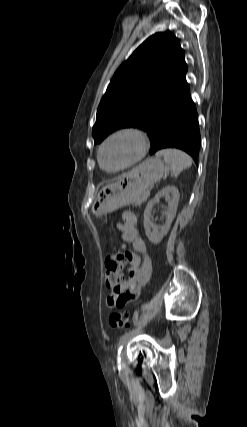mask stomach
<instances>
[{"label":"stomach","mask_w":247,"mask_h":427,"mask_svg":"<svg viewBox=\"0 0 247 427\" xmlns=\"http://www.w3.org/2000/svg\"><path fill=\"white\" fill-rule=\"evenodd\" d=\"M163 174L164 163L160 157L146 159L132 171L123 174L115 184L100 190L92 204V214L101 217L123 206L135 204Z\"/></svg>","instance_id":"stomach-1"}]
</instances>
